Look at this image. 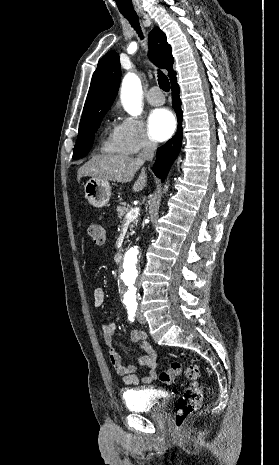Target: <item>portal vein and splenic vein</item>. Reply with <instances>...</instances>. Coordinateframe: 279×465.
Listing matches in <instances>:
<instances>
[{"mask_svg":"<svg viewBox=\"0 0 279 465\" xmlns=\"http://www.w3.org/2000/svg\"><path fill=\"white\" fill-rule=\"evenodd\" d=\"M139 211H140V209L138 207L132 209L130 212H128L126 214L125 220L128 221V222H130L132 220H135L139 215Z\"/></svg>","mask_w":279,"mask_h":465,"instance_id":"1","label":"portal vein and splenic vein"}]
</instances>
